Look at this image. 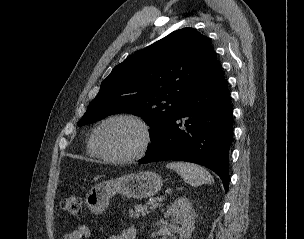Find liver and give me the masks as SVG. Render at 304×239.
Here are the masks:
<instances>
[{
    "mask_svg": "<svg viewBox=\"0 0 304 239\" xmlns=\"http://www.w3.org/2000/svg\"><path fill=\"white\" fill-rule=\"evenodd\" d=\"M99 177H97V178H94V180H96V179H98Z\"/></svg>",
    "mask_w": 304,
    "mask_h": 239,
    "instance_id": "liver-1",
    "label": "liver"
}]
</instances>
